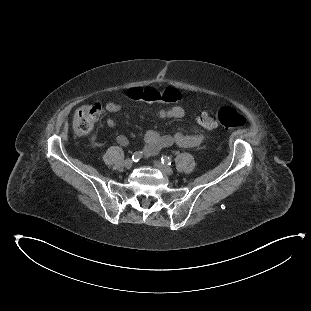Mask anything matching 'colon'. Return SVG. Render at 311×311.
Listing matches in <instances>:
<instances>
[{
  "mask_svg": "<svg viewBox=\"0 0 311 311\" xmlns=\"http://www.w3.org/2000/svg\"><path fill=\"white\" fill-rule=\"evenodd\" d=\"M136 100H144L148 102H178L182 95L175 89H137L133 93ZM108 109L107 104L92 103L83 104L77 109L73 119V129L76 135L84 136L90 133L94 126V121L97 117L102 116L105 110ZM217 118H220V125L229 128H241L245 123L244 117L233 107L224 106L217 111ZM197 120L200 124L214 128L211 117L203 113L197 112Z\"/></svg>",
  "mask_w": 311,
  "mask_h": 311,
  "instance_id": "colon-1",
  "label": "colon"
}]
</instances>
